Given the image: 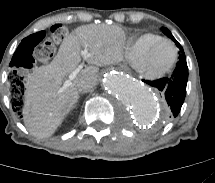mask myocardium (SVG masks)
Segmentation results:
<instances>
[{
	"label": "myocardium",
	"instance_id": "1",
	"mask_svg": "<svg viewBox=\"0 0 215 183\" xmlns=\"http://www.w3.org/2000/svg\"><path fill=\"white\" fill-rule=\"evenodd\" d=\"M162 43H168L172 47L173 51L172 58L169 61V63L166 64L165 66L158 69H151L148 66V58L150 54L154 51V49ZM177 60L178 49L176 45L169 39L161 38L155 43H153L147 50H145L141 54V56L138 58L134 66L142 78L148 81H158L165 78L168 74L172 72V70L176 66Z\"/></svg>",
	"mask_w": 215,
	"mask_h": 183
}]
</instances>
